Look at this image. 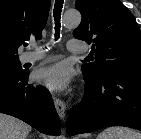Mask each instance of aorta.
Masks as SVG:
<instances>
[{
	"mask_svg": "<svg viewBox=\"0 0 141 139\" xmlns=\"http://www.w3.org/2000/svg\"><path fill=\"white\" fill-rule=\"evenodd\" d=\"M81 22V14L78 11H67L63 16V25L65 27H76Z\"/></svg>",
	"mask_w": 141,
	"mask_h": 139,
	"instance_id": "aorta-1",
	"label": "aorta"
}]
</instances>
